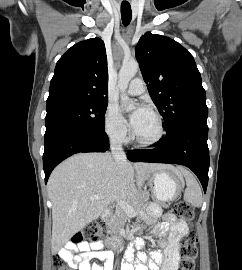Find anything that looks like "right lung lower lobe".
<instances>
[{"instance_id":"obj_1","label":"right lung lower lobe","mask_w":242,"mask_h":270,"mask_svg":"<svg viewBox=\"0 0 242 270\" xmlns=\"http://www.w3.org/2000/svg\"><path fill=\"white\" fill-rule=\"evenodd\" d=\"M43 168L45 183L52 170L67 157L79 152H105L109 139L97 132L76 126H60L45 132Z\"/></svg>"}]
</instances>
